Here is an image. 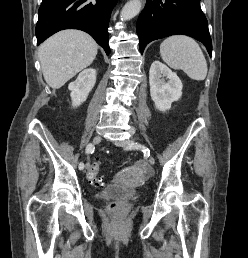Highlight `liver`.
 Wrapping results in <instances>:
<instances>
[{
    "label": "liver",
    "instance_id": "obj_1",
    "mask_svg": "<svg viewBox=\"0 0 248 258\" xmlns=\"http://www.w3.org/2000/svg\"><path fill=\"white\" fill-rule=\"evenodd\" d=\"M94 39L79 30H64L44 41L38 56L46 83L53 89L62 87L97 55Z\"/></svg>",
    "mask_w": 248,
    "mask_h": 258
}]
</instances>
